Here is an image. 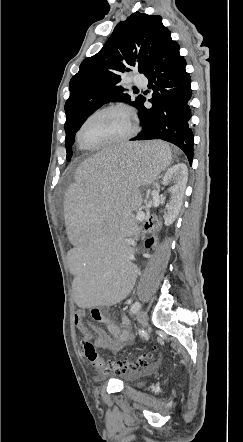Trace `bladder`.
<instances>
[{"instance_id": "bladder-1", "label": "bladder", "mask_w": 243, "mask_h": 442, "mask_svg": "<svg viewBox=\"0 0 243 442\" xmlns=\"http://www.w3.org/2000/svg\"><path fill=\"white\" fill-rule=\"evenodd\" d=\"M144 373L143 372H139L137 374H134L131 376L130 381L132 383H137L139 384V380L143 377Z\"/></svg>"}]
</instances>
